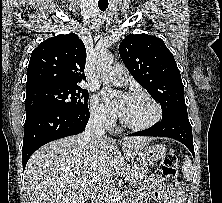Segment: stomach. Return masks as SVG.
I'll use <instances>...</instances> for the list:
<instances>
[{"mask_svg": "<svg viewBox=\"0 0 222 203\" xmlns=\"http://www.w3.org/2000/svg\"><path fill=\"white\" fill-rule=\"evenodd\" d=\"M166 152V148L161 144L143 147L135 152V157L144 166H151L157 162Z\"/></svg>", "mask_w": 222, "mask_h": 203, "instance_id": "0dacf381", "label": "stomach"}]
</instances>
